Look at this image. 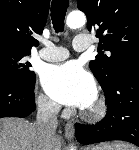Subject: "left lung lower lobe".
I'll use <instances>...</instances> for the list:
<instances>
[{
	"label": "left lung lower lobe",
	"mask_w": 139,
	"mask_h": 150,
	"mask_svg": "<svg viewBox=\"0 0 139 150\" xmlns=\"http://www.w3.org/2000/svg\"><path fill=\"white\" fill-rule=\"evenodd\" d=\"M107 114L95 125L76 124L81 144L109 140L131 142L139 147V60L126 65L105 93Z\"/></svg>",
	"instance_id": "left-lung-lower-lobe-1"
}]
</instances>
